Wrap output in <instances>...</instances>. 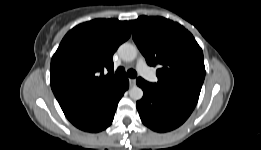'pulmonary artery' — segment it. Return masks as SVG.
<instances>
[{"mask_svg":"<svg viewBox=\"0 0 261 150\" xmlns=\"http://www.w3.org/2000/svg\"><path fill=\"white\" fill-rule=\"evenodd\" d=\"M137 69L139 73L151 82L157 81V77L155 73L147 66L145 60L140 58L137 62Z\"/></svg>","mask_w":261,"mask_h":150,"instance_id":"1","label":"pulmonary artery"}]
</instances>
